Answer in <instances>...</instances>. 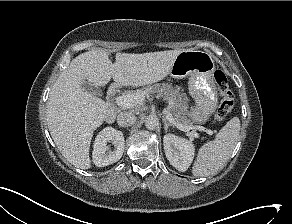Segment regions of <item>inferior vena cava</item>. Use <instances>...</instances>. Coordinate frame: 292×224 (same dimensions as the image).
Returning a JSON list of instances; mask_svg holds the SVG:
<instances>
[{
	"label": "inferior vena cava",
	"instance_id": "inferior-vena-cava-1",
	"mask_svg": "<svg viewBox=\"0 0 292 224\" xmlns=\"http://www.w3.org/2000/svg\"><path fill=\"white\" fill-rule=\"evenodd\" d=\"M117 122L122 127H129L135 124L136 117L132 112H121L117 116Z\"/></svg>",
	"mask_w": 292,
	"mask_h": 224
}]
</instances>
